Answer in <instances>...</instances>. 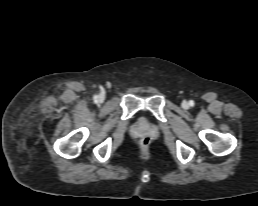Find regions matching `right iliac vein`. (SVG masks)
<instances>
[{"label": "right iliac vein", "instance_id": "1", "mask_svg": "<svg viewBox=\"0 0 258 206\" xmlns=\"http://www.w3.org/2000/svg\"><path fill=\"white\" fill-rule=\"evenodd\" d=\"M105 100L104 95H99L98 96V102L102 103Z\"/></svg>", "mask_w": 258, "mask_h": 206}]
</instances>
